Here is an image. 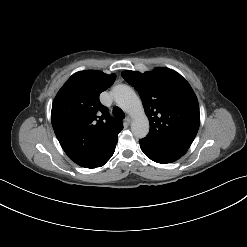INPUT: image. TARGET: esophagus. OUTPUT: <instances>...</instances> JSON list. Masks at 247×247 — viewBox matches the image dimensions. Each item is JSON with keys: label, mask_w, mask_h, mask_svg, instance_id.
<instances>
[{"label": "esophagus", "mask_w": 247, "mask_h": 247, "mask_svg": "<svg viewBox=\"0 0 247 247\" xmlns=\"http://www.w3.org/2000/svg\"><path fill=\"white\" fill-rule=\"evenodd\" d=\"M126 121L130 124L132 122V117L131 116H127L126 117Z\"/></svg>", "instance_id": "esophagus-1"}]
</instances>
